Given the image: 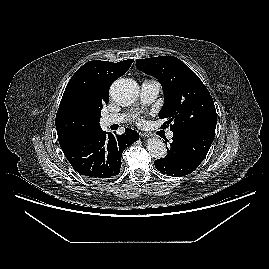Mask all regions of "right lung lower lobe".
Returning a JSON list of instances; mask_svg holds the SVG:
<instances>
[{"label":"right lung lower lobe","instance_id":"98d812e1","mask_svg":"<svg viewBox=\"0 0 269 269\" xmlns=\"http://www.w3.org/2000/svg\"><path fill=\"white\" fill-rule=\"evenodd\" d=\"M138 139L139 134L132 129L127 128L123 135L99 129L61 148L79 174L91 179H108L119 174L123 150Z\"/></svg>","mask_w":269,"mask_h":269}]
</instances>
